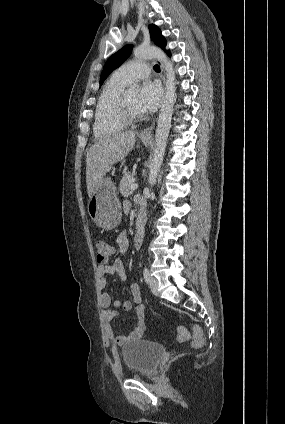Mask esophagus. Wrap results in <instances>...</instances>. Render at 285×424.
<instances>
[{
	"label": "esophagus",
	"instance_id": "1",
	"mask_svg": "<svg viewBox=\"0 0 285 424\" xmlns=\"http://www.w3.org/2000/svg\"><path fill=\"white\" fill-rule=\"evenodd\" d=\"M160 64V68H161V73H160V76H161V78H162V81H163V84L165 85V72H164V67H163V65H162V63L160 62L159 63ZM154 125H155V120H153L152 121V123H151V125L149 126V127H147V128H145V129H143L141 132H140V136L141 137H151V135H152V130H153V128H154Z\"/></svg>",
	"mask_w": 285,
	"mask_h": 424
}]
</instances>
